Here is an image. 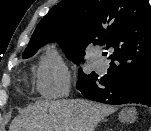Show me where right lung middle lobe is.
Listing matches in <instances>:
<instances>
[{
  "instance_id": "right-lung-middle-lobe-1",
  "label": "right lung middle lobe",
  "mask_w": 151,
  "mask_h": 131,
  "mask_svg": "<svg viewBox=\"0 0 151 131\" xmlns=\"http://www.w3.org/2000/svg\"><path fill=\"white\" fill-rule=\"evenodd\" d=\"M43 44H35V45H30L27 46L26 50L24 51L23 57L24 58H28L30 56H32L33 54L36 53V51L42 46ZM62 49L63 51H65L66 56L71 59L73 62H75L76 64H79L83 58L85 54H80L78 52H76L72 47L66 46V45H62ZM80 76H96V74H90V75H86L84 73H81Z\"/></svg>"
}]
</instances>
